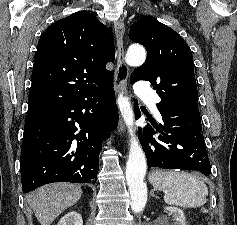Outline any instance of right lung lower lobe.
I'll use <instances>...</instances> for the list:
<instances>
[{"label":"right lung lower lobe","mask_w":237,"mask_h":225,"mask_svg":"<svg viewBox=\"0 0 237 225\" xmlns=\"http://www.w3.org/2000/svg\"><path fill=\"white\" fill-rule=\"evenodd\" d=\"M118 122L113 84L28 109L21 148L23 192L52 182L97 180L102 142Z\"/></svg>","instance_id":"1"}]
</instances>
